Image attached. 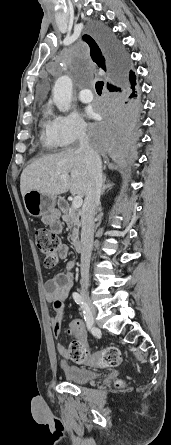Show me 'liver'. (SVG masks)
<instances>
[{
	"mask_svg": "<svg viewBox=\"0 0 171 445\" xmlns=\"http://www.w3.org/2000/svg\"><path fill=\"white\" fill-rule=\"evenodd\" d=\"M88 183L89 173L84 153L70 148L46 155L27 166L21 174L20 190L22 196L30 190H36L56 197L70 190L72 194L83 197Z\"/></svg>",
	"mask_w": 171,
	"mask_h": 445,
	"instance_id": "6515ba94",
	"label": "liver"
}]
</instances>
